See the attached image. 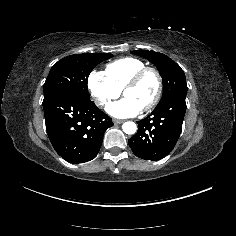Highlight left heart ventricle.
<instances>
[{"instance_id": "left-heart-ventricle-1", "label": "left heart ventricle", "mask_w": 236, "mask_h": 236, "mask_svg": "<svg viewBox=\"0 0 236 236\" xmlns=\"http://www.w3.org/2000/svg\"><path fill=\"white\" fill-rule=\"evenodd\" d=\"M156 91V80L152 74H146L135 86L128 88L123 93L142 109L152 100Z\"/></svg>"}]
</instances>
